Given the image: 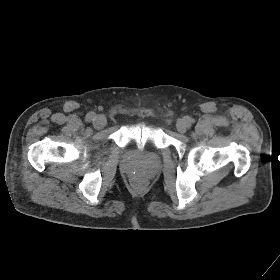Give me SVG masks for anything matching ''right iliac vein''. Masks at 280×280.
<instances>
[{
	"instance_id": "63e3f726",
	"label": "right iliac vein",
	"mask_w": 280,
	"mask_h": 280,
	"mask_svg": "<svg viewBox=\"0 0 280 280\" xmlns=\"http://www.w3.org/2000/svg\"><path fill=\"white\" fill-rule=\"evenodd\" d=\"M107 123V120L104 116L102 115H98L96 116L93 124H94V127L97 128V129H101L103 128Z\"/></svg>"
}]
</instances>
